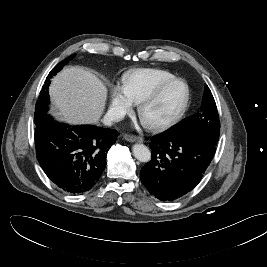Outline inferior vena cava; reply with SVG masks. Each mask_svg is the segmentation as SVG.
<instances>
[{
	"label": "inferior vena cava",
	"mask_w": 267,
	"mask_h": 267,
	"mask_svg": "<svg viewBox=\"0 0 267 267\" xmlns=\"http://www.w3.org/2000/svg\"><path fill=\"white\" fill-rule=\"evenodd\" d=\"M123 118V114L119 111H108L104 118L103 123L110 126L113 122H118Z\"/></svg>",
	"instance_id": "1"
}]
</instances>
